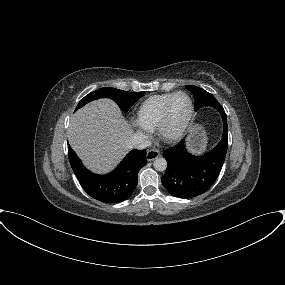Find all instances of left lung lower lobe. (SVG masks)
Returning <instances> with one entry per match:
<instances>
[{
  "mask_svg": "<svg viewBox=\"0 0 285 285\" xmlns=\"http://www.w3.org/2000/svg\"><path fill=\"white\" fill-rule=\"evenodd\" d=\"M223 119V136L218 145L202 156L191 155L185 141L163 152L167 169L161 178L163 186L174 196L188 199L206 192L216 181L228 147L227 117L220 104L212 106Z\"/></svg>",
  "mask_w": 285,
  "mask_h": 285,
  "instance_id": "obj_1",
  "label": "left lung lower lobe"
}]
</instances>
